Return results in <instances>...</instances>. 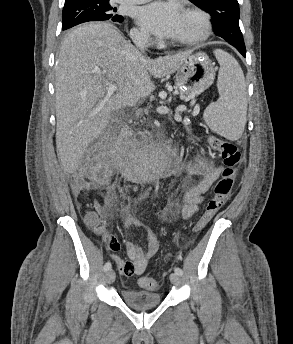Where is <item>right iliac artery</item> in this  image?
<instances>
[{
	"label": "right iliac artery",
	"mask_w": 293,
	"mask_h": 344,
	"mask_svg": "<svg viewBox=\"0 0 293 344\" xmlns=\"http://www.w3.org/2000/svg\"><path fill=\"white\" fill-rule=\"evenodd\" d=\"M110 268H111V263H110V262L105 263V265H104V271L106 272V271H108Z\"/></svg>",
	"instance_id": "right-iliac-artery-1"
}]
</instances>
